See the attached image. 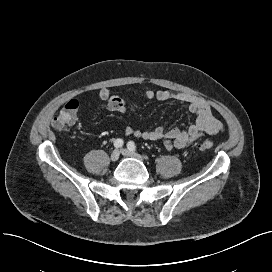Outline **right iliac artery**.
<instances>
[{
	"label": "right iliac artery",
	"instance_id": "right-iliac-artery-1",
	"mask_svg": "<svg viewBox=\"0 0 272 272\" xmlns=\"http://www.w3.org/2000/svg\"><path fill=\"white\" fill-rule=\"evenodd\" d=\"M123 140L122 139H116L115 141H114V147H116V148H121L122 146H123Z\"/></svg>",
	"mask_w": 272,
	"mask_h": 272
}]
</instances>
